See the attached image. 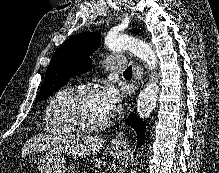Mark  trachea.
Returning <instances> with one entry per match:
<instances>
[{"mask_svg":"<svg viewBox=\"0 0 219 173\" xmlns=\"http://www.w3.org/2000/svg\"><path fill=\"white\" fill-rule=\"evenodd\" d=\"M124 74L132 75V66H129V67L125 70Z\"/></svg>","mask_w":219,"mask_h":173,"instance_id":"trachea-1","label":"trachea"}]
</instances>
